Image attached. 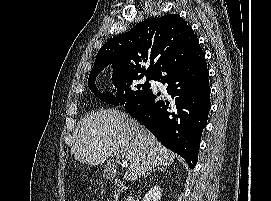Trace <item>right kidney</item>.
Here are the masks:
<instances>
[{"label": "right kidney", "instance_id": "ca27d5eb", "mask_svg": "<svg viewBox=\"0 0 271 201\" xmlns=\"http://www.w3.org/2000/svg\"><path fill=\"white\" fill-rule=\"evenodd\" d=\"M162 189L155 185L144 196L143 201H160Z\"/></svg>", "mask_w": 271, "mask_h": 201}]
</instances>
